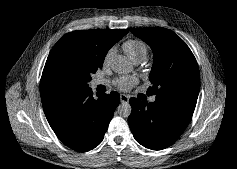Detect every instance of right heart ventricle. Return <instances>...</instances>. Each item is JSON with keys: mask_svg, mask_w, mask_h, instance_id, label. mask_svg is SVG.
I'll use <instances>...</instances> for the list:
<instances>
[{"mask_svg": "<svg viewBox=\"0 0 237 169\" xmlns=\"http://www.w3.org/2000/svg\"><path fill=\"white\" fill-rule=\"evenodd\" d=\"M122 48L128 57L136 63L143 61L148 55V46L140 39L125 41Z\"/></svg>", "mask_w": 237, "mask_h": 169, "instance_id": "right-heart-ventricle-1", "label": "right heart ventricle"}]
</instances>
